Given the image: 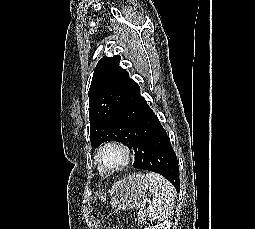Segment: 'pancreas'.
<instances>
[{
    "instance_id": "cf45deb5",
    "label": "pancreas",
    "mask_w": 255,
    "mask_h": 229,
    "mask_svg": "<svg viewBox=\"0 0 255 229\" xmlns=\"http://www.w3.org/2000/svg\"><path fill=\"white\" fill-rule=\"evenodd\" d=\"M137 219L139 222H144L145 221V210H140L138 212Z\"/></svg>"
}]
</instances>
